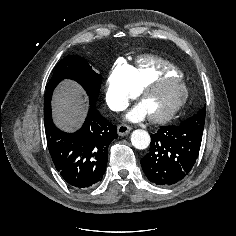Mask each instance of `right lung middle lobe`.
<instances>
[{
    "label": "right lung middle lobe",
    "instance_id": "1",
    "mask_svg": "<svg viewBox=\"0 0 236 236\" xmlns=\"http://www.w3.org/2000/svg\"><path fill=\"white\" fill-rule=\"evenodd\" d=\"M64 79L76 81L87 93L90 105L95 106L102 76L92 70L88 62L80 56L70 55L63 58L57 65L54 74L46 85L44 107L51 106V97L55 87Z\"/></svg>",
    "mask_w": 236,
    "mask_h": 236
}]
</instances>
